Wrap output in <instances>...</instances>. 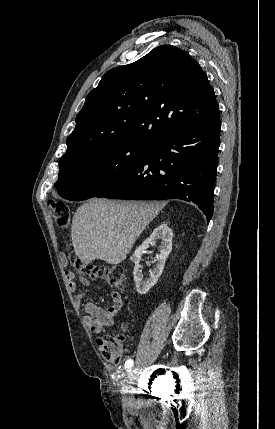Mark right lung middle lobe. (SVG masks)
Wrapping results in <instances>:
<instances>
[{"label": "right lung middle lobe", "mask_w": 275, "mask_h": 429, "mask_svg": "<svg viewBox=\"0 0 275 429\" xmlns=\"http://www.w3.org/2000/svg\"><path fill=\"white\" fill-rule=\"evenodd\" d=\"M148 144H117L87 153L60 165L55 187L65 199L95 197L114 181L138 167Z\"/></svg>", "instance_id": "obj_1"}]
</instances>
